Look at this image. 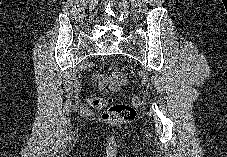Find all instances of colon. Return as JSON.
Returning <instances> with one entry per match:
<instances>
[{
	"instance_id": "1",
	"label": "colon",
	"mask_w": 227,
	"mask_h": 157,
	"mask_svg": "<svg viewBox=\"0 0 227 157\" xmlns=\"http://www.w3.org/2000/svg\"><path fill=\"white\" fill-rule=\"evenodd\" d=\"M105 67V63L99 65V70ZM131 104L112 103L111 98H89V103L94 108H104L108 106L106 112L102 115V119L106 122L128 121L135 117V107L141 104V98L138 95H132Z\"/></svg>"
}]
</instances>
